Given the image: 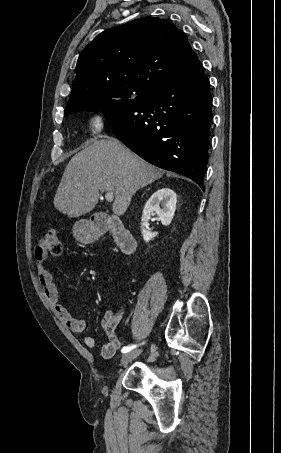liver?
Listing matches in <instances>:
<instances>
[{"mask_svg": "<svg viewBox=\"0 0 281 453\" xmlns=\"http://www.w3.org/2000/svg\"><path fill=\"white\" fill-rule=\"evenodd\" d=\"M163 176L156 168L108 136L85 146L69 160L54 196V206L68 216L93 210L99 192H114V214L126 212L133 194Z\"/></svg>", "mask_w": 281, "mask_h": 453, "instance_id": "1", "label": "liver"}]
</instances>
